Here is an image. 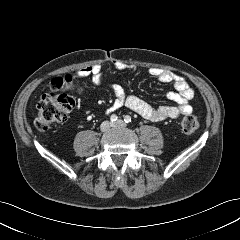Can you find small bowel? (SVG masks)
<instances>
[{"label":"small bowel","mask_w":240,"mask_h":240,"mask_svg":"<svg viewBox=\"0 0 240 240\" xmlns=\"http://www.w3.org/2000/svg\"><path fill=\"white\" fill-rule=\"evenodd\" d=\"M111 65L120 70L132 68L118 60H112ZM149 73L162 83L174 85L175 91L168 93L167 97L174 102L175 105L153 107L143 99L135 95L127 94L122 86L112 85L111 90L115 95V99L107 109V112H114L125 106L143 118L153 122L174 119L180 115L191 113L192 107L189 101L193 97V90L183 77L159 68H151ZM77 75L80 77H90L95 85H100L104 77L100 64L87 65L79 70Z\"/></svg>","instance_id":"1"}]
</instances>
